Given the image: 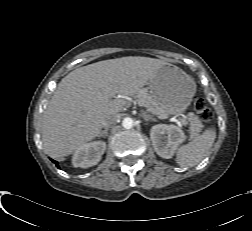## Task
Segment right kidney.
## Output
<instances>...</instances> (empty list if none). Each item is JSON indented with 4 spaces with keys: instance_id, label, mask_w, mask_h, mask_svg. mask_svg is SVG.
<instances>
[{
    "instance_id": "right-kidney-1",
    "label": "right kidney",
    "mask_w": 252,
    "mask_h": 231,
    "mask_svg": "<svg viewBox=\"0 0 252 231\" xmlns=\"http://www.w3.org/2000/svg\"><path fill=\"white\" fill-rule=\"evenodd\" d=\"M106 150V143L93 141L83 144L73 154L72 164L74 167L88 168L96 165Z\"/></svg>"
}]
</instances>
